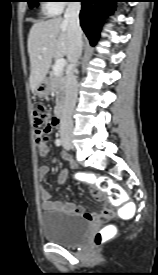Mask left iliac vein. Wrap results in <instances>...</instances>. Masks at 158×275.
<instances>
[{"instance_id": "left-iliac-vein-1", "label": "left iliac vein", "mask_w": 158, "mask_h": 275, "mask_svg": "<svg viewBox=\"0 0 158 275\" xmlns=\"http://www.w3.org/2000/svg\"><path fill=\"white\" fill-rule=\"evenodd\" d=\"M64 148H65L66 150H68V149H69V147H68V146H66L65 144H64Z\"/></svg>"}]
</instances>
